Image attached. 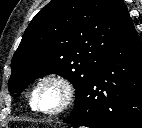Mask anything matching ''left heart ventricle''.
Here are the masks:
<instances>
[{"mask_svg": "<svg viewBox=\"0 0 142 128\" xmlns=\"http://www.w3.org/2000/svg\"><path fill=\"white\" fill-rule=\"evenodd\" d=\"M63 100V92L61 88L54 84L49 83L45 85L40 94V106L44 110H55L58 108Z\"/></svg>", "mask_w": 142, "mask_h": 128, "instance_id": "obj_1", "label": "left heart ventricle"}]
</instances>
